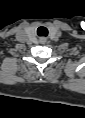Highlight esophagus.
Instances as JSON below:
<instances>
[{"mask_svg":"<svg viewBox=\"0 0 85 118\" xmlns=\"http://www.w3.org/2000/svg\"><path fill=\"white\" fill-rule=\"evenodd\" d=\"M42 40L45 42V39H44V38H42L41 41H42Z\"/></svg>","mask_w":85,"mask_h":118,"instance_id":"34e87169","label":"esophagus"}]
</instances>
